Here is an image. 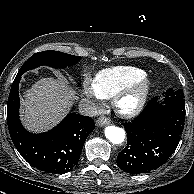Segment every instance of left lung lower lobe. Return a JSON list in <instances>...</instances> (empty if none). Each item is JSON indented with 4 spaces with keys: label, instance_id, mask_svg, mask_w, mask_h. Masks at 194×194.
Here are the masks:
<instances>
[{
    "label": "left lung lower lobe",
    "instance_id": "obj_1",
    "mask_svg": "<svg viewBox=\"0 0 194 194\" xmlns=\"http://www.w3.org/2000/svg\"><path fill=\"white\" fill-rule=\"evenodd\" d=\"M185 100L181 89H168L159 103L152 98L131 122L122 123L127 146L118 154L117 164L130 174L157 169L174 153L183 132Z\"/></svg>",
    "mask_w": 194,
    "mask_h": 194
}]
</instances>
